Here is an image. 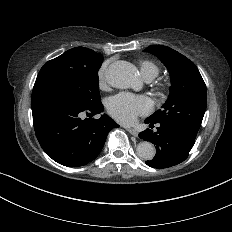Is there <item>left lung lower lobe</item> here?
<instances>
[{"label": "left lung lower lobe", "mask_w": 232, "mask_h": 232, "mask_svg": "<svg viewBox=\"0 0 232 232\" xmlns=\"http://www.w3.org/2000/svg\"><path fill=\"white\" fill-rule=\"evenodd\" d=\"M145 123L150 124V128L155 124L148 118ZM158 126L155 132L147 128L139 134L141 139L156 145L155 157L146 164L153 168H168L186 160L196 137L174 124L160 122Z\"/></svg>", "instance_id": "0a47b994"}]
</instances>
